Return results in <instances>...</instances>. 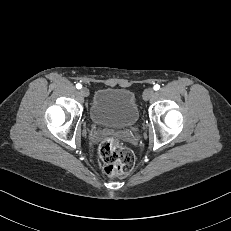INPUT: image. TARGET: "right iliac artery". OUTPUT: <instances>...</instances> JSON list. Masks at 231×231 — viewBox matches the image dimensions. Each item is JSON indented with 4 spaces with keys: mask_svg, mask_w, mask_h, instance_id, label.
<instances>
[{
    "mask_svg": "<svg viewBox=\"0 0 231 231\" xmlns=\"http://www.w3.org/2000/svg\"><path fill=\"white\" fill-rule=\"evenodd\" d=\"M81 87H82V85H81V84H79V83H78V84H76V88H77V89H81Z\"/></svg>",
    "mask_w": 231,
    "mask_h": 231,
    "instance_id": "obj_1",
    "label": "right iliac artery"
}]
</instances>
